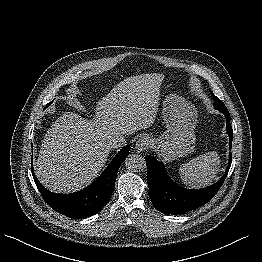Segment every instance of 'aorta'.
I'll use <instances>...</instances> for the list:
<instances>
[{
    "label": "aorta",
    "instance_id": "aorta-1",
    "mask_svg": "<svg viewBox=\"0 0 262 262\" xmlns=\"http://www.w3.org/2000/svg\"><path fill=\"white\" fill-rule=\"evenodd\" d=\"M125 165L129 170H143L146 166L145 159L138 154H130L125 159Z\"/></svg>",
    "mask_w": 262,
    "mask_h": 262
}]
</instances>
